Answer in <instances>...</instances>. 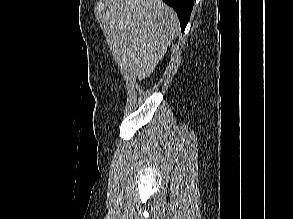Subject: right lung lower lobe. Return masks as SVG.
I'll return each mask as SVG.
<instances>
[{"label": "right lung lower lobe", "instance_id": "right-lung-lower-lobe-1", "mask_svg": "<svg viewBox=\"0 0 293 219\" xmlns=\"http://www.w3.org/2000/svg\"><path fill=\"white\" fill-rule=\"evenodd\" d=\"M163 1L167 3L169 6H171L172 8H174L180 20L181 29L182 31H184L193 9L194 0H163Z\"/></svg>", "mask_w": 293, "mask_h": 219}]
</instances>
